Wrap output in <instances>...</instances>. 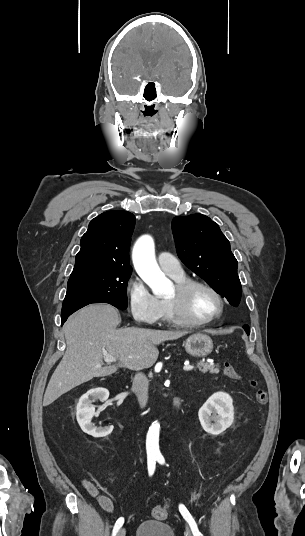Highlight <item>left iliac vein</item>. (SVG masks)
<instances>
[{
	"mask_svg": "<svg viewBox=\"0 0 305 536\" xmlns=\"http://www.w3.org/2000/svg\"><path fill=\"white\" fill-rule=\"evenodd\" d=\"M187 536H192L189 530L187 531Z\"/></svg>",
	"mask_w": 305,
	"mask_h": 536,
	"instance_id": "left-iliac-vein-1",
	"label": "left iliac vein"
}]
</instances>
